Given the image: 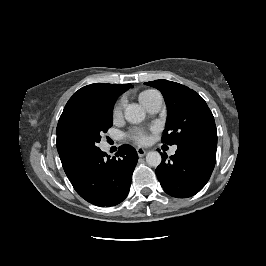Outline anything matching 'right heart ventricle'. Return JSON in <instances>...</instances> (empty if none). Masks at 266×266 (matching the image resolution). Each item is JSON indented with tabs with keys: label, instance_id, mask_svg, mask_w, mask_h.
Instances as JSON below:
<instances>
[{
	"label": "right heart ventricle",
	"instance_id": "1",
	"mask_svg": "<svg viewBox=\"0 0 266 266\" xmlns=\"http://www.w3.org/2000/svg\"><path fill=\"white\" fill-rule=\"evenodd\" d=\"M156 94H158L157 91L146 90L139 95V100L145 106V104Z\"/></svg>",
	"mask_w": 266,
	"mask_h": 266
}]
</instances>
